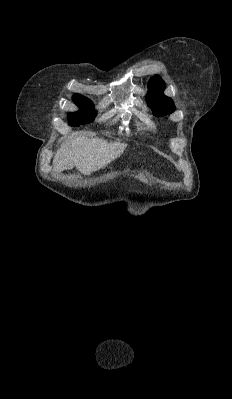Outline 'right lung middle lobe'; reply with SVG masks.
I'll use <instances>...</instances> for the list:
<instances>
[{
	"mask_svg": "<svg viewBox=\"0 0 232 399\" xmlns=\"http://www.w3.org/2000/svg\"><path fill=\"white\" fill-rule=\"evenodd\" d=\"M73 101L80 108V110L77 112L68 113L69 125L78 126L80 124L92 122L95 118V113L91 111L94 107L92 101L82 95H74Z\"/></svg>",
	"mask_w": 232,
	"mask_h": 399,
	"instance_id": "1",
	"label": "right lung middle lobe"
}]
</instances>
